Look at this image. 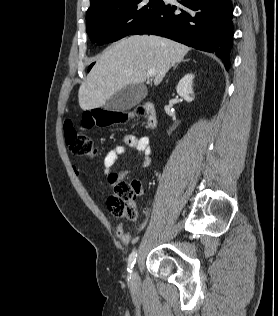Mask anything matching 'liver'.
<instances>
[{
	"mask_svg": "<svg viewBox=\"0 0 278 316\" xmlns=\"http://www.w3.org/2000/svg\"><path fill=\"white\" fill-rule=\"evenodd\" d=\"M189 50L183 44L155 35H134L114 43L103 51L81 84L80 107L91 110L104 106L126 86L144 83L150 69L156 71L154 84L159 85Z\"/></svg>",
	"mask_w": 278,
	"mask_h": 316,
	"instance_id": "6515ba94",
	"label": "liver"
}]
</instances>
